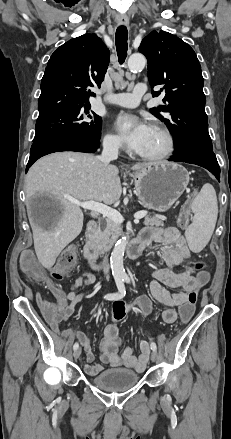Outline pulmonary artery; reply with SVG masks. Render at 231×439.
<instances>
[{
	"label": "pulmonary artery",
	"mask_w": 231,
	"mask_h": 439,
	"mask_svg": "<svg viewBox=\"0 0 231 439\" xmlns=\"http://www.w3.org/2000/svg\"><path fill=\"white\" fill-rule=\"evenodd\" d=\"M146 90L147 88L145 84H137L132 92L111 95L107 98V101L121 107L133 108L138 106L142 96L146 93Z\"/></svg>",
	"instance_id": "obj_1"
}]
</instances>
